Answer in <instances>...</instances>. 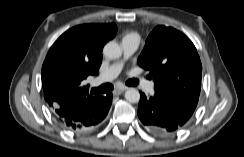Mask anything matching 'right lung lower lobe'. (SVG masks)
I'll return each instance as SVG.
<instances>
[{
	"label": "right lung lower lobe",
	"instance_id": "right-lung-lower-lobe-1",
	"mask_svg": "<svg viewBox=\"0 0 244 157\" xmlns=\"http://www.w3.org/2000/svg\"><path fill=\"white\" fill-rule=\"evenodd\" d=\"M111 93L103 96L93 104H87L78 111L61 117L57 114V119L69 130L81 132L98 126L108 114L112 103Z\"/></svg>",
	"mask_w": 244,
	"mask_h": 157
}]
</instances>
